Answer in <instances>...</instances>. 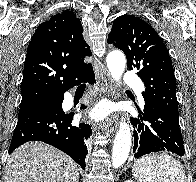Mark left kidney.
Listing matches in <instances>:
<instances>
[{
    "label": "left kidney",
    "instance_id": "5707ae66",
    "mask_svg": "<svg viewBox=\"0 0 196 182\" xmlns=\"http://www.w3.org/2000/svg\"><path fill=\"white\" fill-rule=\"evenodd\" d=\"M125 182H134V181H132V180H127V181H125Z\"/></svg>",
    "mask_w": 196,
    "mask_h": 182
}]
</instances>
